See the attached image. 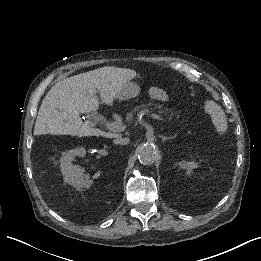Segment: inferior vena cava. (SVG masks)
<instances>
[{
	"label": "inferior vena cava",
	"mask_w": 261,
	"mask_h": 261,
	"mask_svg": "<svg viewBox=\"0 0 261 261\" xmlns=\"http://www.w3.org/2000/svg\"><path fill=\"white\" fill-rule=\"evenodd\" d=\"M116 141L118 142V144H128L130 142L129 138H122V137H117Z\"/></svg>",
	"instance_id": "1"
}]
</instances>
